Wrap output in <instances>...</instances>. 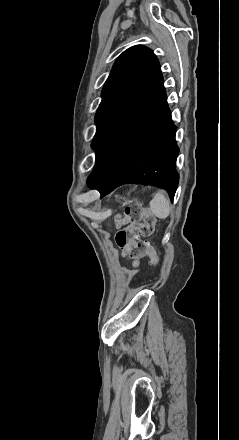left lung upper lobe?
Returning <instances> with one entry per match:
<instances>
[{
  "mask_svg": "<svg viewBox=\"0 0 239 440\" xmlns=\"http://www.w3.org/2000/svg\"><path fill=\"white\" fill-rule=\"evenodd\" d=\"M160 75L156 55L145 46H132L118 57L102 90V102L95 116L97 131L91 144L93 148Z\"/></svg>",
  "mask_w": 239,
  "mask_h": 440,
  "instance_id": "left-lung-upper-lobe-1",
  "label": "left lung upper lobe"
}]
</instances>
